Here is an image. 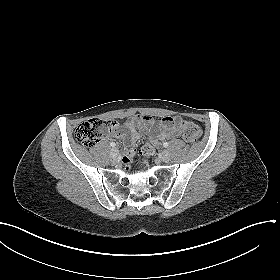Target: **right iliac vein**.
<instances>
[{
    "label": "right iliac vein",
    "instance_id": "1",
    "mask_svg": "<svg viewBox=\"0 0 280 280\" xmlns=\"http://www.w3.org/2000/svg\"><path fill=\"white\" fill-rule=\"evenodd\" d=\"M110 154H111V157H112L114 160H116V159L118 158V156H119V151H118L117 148H113V149L111 150Z\"/></svg>",
    "mask_w": 280,
    "mask_h": 280
}]
</instances>
